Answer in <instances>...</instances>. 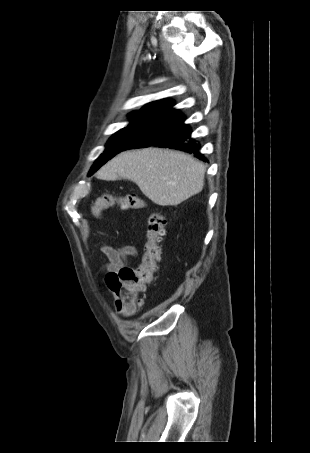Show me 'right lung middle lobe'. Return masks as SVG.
I'll return each mask as SVG.
<instances>
[{
    "label": "right lung middle lobe",
    "mask_w": 310,
    "mask_h": 453,
    "mask_svg": "<svg viewBox=\"0 0 310 453\" xmlns=\"http://www.w3.org/2000/svg\"><path fill=\"white\" fill-rule=\"evenodd\" d=\"M157 118L132 117L130 124L116 132L108 141L103 154L95 161L89 176L113 156L121 152L133 139L149 127Z\"/></svg>",
    "instance_id": "obj_1"
}]
</instances>
